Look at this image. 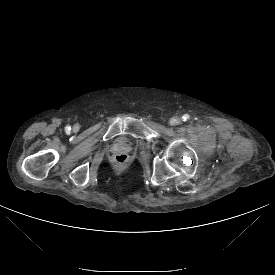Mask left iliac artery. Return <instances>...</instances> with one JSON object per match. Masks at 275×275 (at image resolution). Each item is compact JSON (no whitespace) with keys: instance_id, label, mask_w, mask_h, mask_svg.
<instances>
[{"instance_id":"obj_1","label":"left iliac artery","mask_w":275,"mask_h":275,"mask_svg":"<svg viewBox=\"0 0 275 275\" xmlns=\"http://www.w3.org/2000/svg\"><path fill=\"white\" fill-rule=\"evenodd\" d=\"M188 118V115L183 116L184 121Z\"/></svg>"}]
</instances>
